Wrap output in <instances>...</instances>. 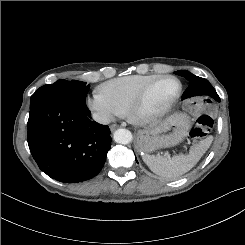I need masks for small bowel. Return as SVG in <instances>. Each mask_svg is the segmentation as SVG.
<instances>
[{"instance_id": "small-bowel-1", "label": "small bowel", "mask_w": 245, "mask_h": 245, "mask_svg": "<svg viewBox=\"0 0 245 245\" xmlns=\"http://www.w3.org/2000/svg\"><path fill=\"white\" fill-rule=\"evenodd\" d=\"M186 108L190 114L203 115L213 110L214 103L210 99H199L197 97H192L189 99Z\"/></svg>"}]
</instances>
